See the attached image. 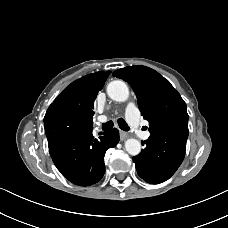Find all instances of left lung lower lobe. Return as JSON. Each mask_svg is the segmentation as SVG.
<instances>
[{
	"label": "left lung lower lobe",
	"mask_w": 228,
	"mask_h": 228,
	"mask_svg": "<svg viewBox=\"0 0 228 228\" xmlns=\"http://www.w3.org/2000/svg\"><path fill=\"white\" fill-rule=\"evenodd\" d=\"M144 144L141 153L133 157L138 175L151 184L168 180L184 159L186 142L172 135L152 134Z\"/></svg>",
	"instance_id": "1"
}]
</instances>
